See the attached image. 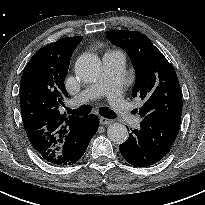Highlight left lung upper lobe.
I'll return each mask as SVG.
<instances>
[{
    "label": "left lung upper lobe",
    "instance_id": "left-lung-upper-lobe-1",
    "mask_svg": "<svg viewBox=\"0 0 205 205\" xmlns=\"http://www.w3.org/2000/svg\"><path fill=\"white\" fill-rule=\"evenodd\" d=\"M108 39L129 55L136 72L132 96L145 101L139 114L143 120L181 118L182 91L174 67L144 34L107 31Z\"/></svg>",
    "mask_w": 205,
    "mask_h": 205
}]
</instances>
